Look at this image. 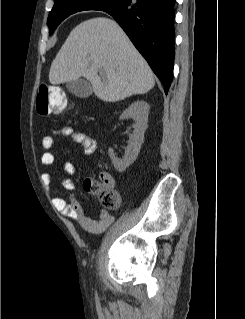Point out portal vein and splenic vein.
Returning <instances> with one entry per match:
<instances>
[{
  "label": "portal vein and splenic vein",
  "mask_w": 245,
  "mask_h": 319,
  "mask_svg": "<svg viewBox=\"0 0 245 319\" xmlns=\"http://www.w3.org/2000/svg\"><path fill=\"white\" fill-rule=\"evenodd\" d=\"M99 73L102 75L103 74V70H99Z\"/></svg>",
  "instance_id": "1"
}]
</instances>
